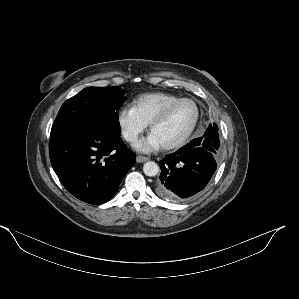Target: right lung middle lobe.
Here are the masks:
<instances>
[{
    "instance_id": "dd1d6c3e",
    "label": "right lung middle lobe",
    "mask_w": 299,
    "mask_h": 299,
    "mask_svg": "<svg viewBox=\"0 0 299 299\" xmlns=\"http://www.w3.org/2000/svg\"><path fill=\"white\" fill-rule=\"evenodd\" d=\"M124 90L117 86L88 87L61 107L50 136L73 128H90L121 134L117 111L123 104Z\"/></svg>"
}]
</instances>
